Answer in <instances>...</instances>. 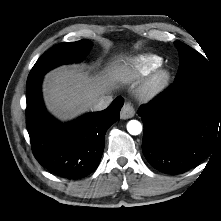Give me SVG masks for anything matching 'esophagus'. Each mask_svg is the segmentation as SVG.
Wrapping results in <instances>:
<instances>
[{"mask_svg": "<svg viewBox=\"0 0 221 221\" xmlns=\"http://www.w3.org/2000/svg\"><path fill=\"white\" fill-rule=\"evenodd\" d=\"M135 115V108L134 106L127 102L124 104L121 112H120V116L122 119H129L132 118Z\"/></svg>", "mask_w": 221, "mask_h": 221, "instance_id": "1", "label": "esophagus"}]
</instances>
